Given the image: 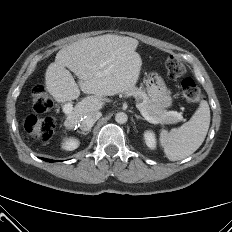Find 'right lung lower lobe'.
I'll return each mask as SVG.
<instances>
[{"mask_svg": "<svg viewBox=\"0 0 232 232\" xmlns=\"http://www.w3.org/2000/svg\"><path fill=\"white\" fill-rule=\"evenodd\" d=\"M43 160L48 161V162H54V160H50V159H44L43 158Z\"/></svg>", "mask_w": 232, "mask_h": 232, "instance_id": "obj_1", "label": "right lung lower lobe"}]
</instances>
